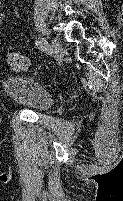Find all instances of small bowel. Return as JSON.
I'll list each match as a JSON object with an SVG mask.
<instances>
[{"label": "small bowel", "mask_w": 123, "mask_h": 201, "mask_svg": "<svg viewBox=\"0 0 123 201\" xmlns=\"http://www.w3.org/2000/svg\"><path fill=\"white\" fill-rule=\"evenodd\" d=\"M7 19L6 13L2 10L0 6V29L3 27Z\"/></svg>", "instance_id": "obj_1"}]
</instances>
